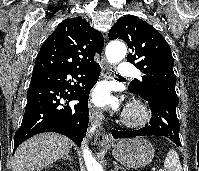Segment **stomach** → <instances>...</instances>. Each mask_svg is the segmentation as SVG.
Masks as SVG:
<instances>
[{
	"label": "stomach",
	"mask_w": 199,
	"mask_h": 171,
	"mask_svg": "<svg viewBox=\"0 0 199 171\" xmlns=\"http://www.w3.org/2000/svg\"><path fill=\"white\" fill-rule=\"evenodd\" d=\"M152 144L144 138L122 139L113 146L112 155L124 166L130 168H143L154 157Z\"/></svg>",
	"instance_id": "stomach-1"
}]
</instances>
